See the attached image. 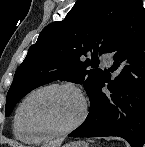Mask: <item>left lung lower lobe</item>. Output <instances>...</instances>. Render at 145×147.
I'll list each match as a JSON object with an SVG mask.
<instances>
[{
  "label": "left lung lower lobe",
  "mask_w": 145,
  "mask_h": 147,
  "mask_svg": "<svg viewBox=\"0 0 145 147\" xmlns=\"http://www.w3.org/2000/svg\"><path fill=\"white\" fill-rule=\"evenodd\" d=\"M108 53L114 63L110 81L104 72L96 85L86 120L70 137L118 136L131 147L145 141V8L141 0H131L122 27ZM107 83L109 92H102Z\"/></svg>",
  "instance_id": "1"
}]
</instances>
